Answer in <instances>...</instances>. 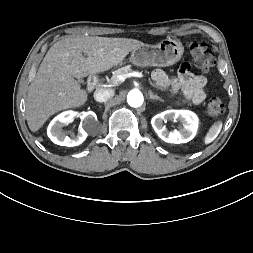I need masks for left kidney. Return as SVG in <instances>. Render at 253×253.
<instances>
[{"mask_svg":"<svg viewBox=\"0 0 253 253\" xmlns=\"http://www.w3.org/2000/svg\"><path fill=\"white\" fill-rule=\"evenodd\" d=\"M179 119L182 126L178 130L169 132L163 125L164 121ZM151 124L157 135L167 143H186L194 138L198 128L197 116L189 110H166L155 115Z\"/></svg>","mask_w":253,"mask_h":253,"instance_id":"5707ae66","label":"left kidney"}]
</instances>
